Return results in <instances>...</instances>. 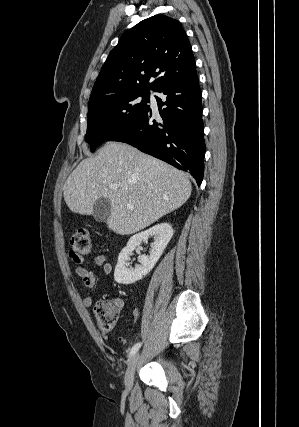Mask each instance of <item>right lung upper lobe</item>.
Returning a JSON list of instances; mask_svg holds the SVG:
<instances>
[{
  "label": "right lung upper lobe",
  "instance_id": "right-lung-upper-lobe-1",
  "mask_svg": "<svg viewBox=\"0 0 299 427\" xmlns=\"http://www.w3.org/2000/svg\"><path fill=\"white\" fill-rule=\"evenodd\" d=\"M195 74L192 47L180 22L154 15L126 32L110 52L89 105L120 93L156 91ZM152 77L156 79L149 82Z\"/></svg>",
  "mask_w": 299,
  "mask_h": 427
}]
</instances>
